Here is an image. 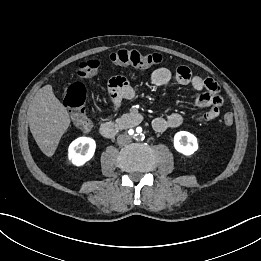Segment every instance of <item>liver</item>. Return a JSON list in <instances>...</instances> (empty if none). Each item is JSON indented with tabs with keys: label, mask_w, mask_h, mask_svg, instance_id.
<instances>
[{
	"label": "liver",
	"mask_w": 261,
	"mask_h": 261,
	"mask_svg": "<svg viewBox=\"0 0 261 261\" xmlns=\"http://www.w3.org/2000/svg\"><path fill=\"white\" fill-rule=\"evenodd\" d=\"M27 114L30 131L40 150L48 157L53 156L70 125V117L51 85H45L35 94Z\"/></svg>",
	"instance_id": "6515ba94"
}]
</instances>
